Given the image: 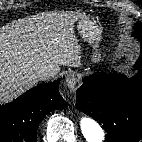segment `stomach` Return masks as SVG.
<instances>
[{"instance_id":"1","label":"stomach","mask_w":142,"mask_h":142,"mask_svg":"<svg viewBox=\"0 0 142 142\" xmlns=\"http://www.w3.org/2000/svg\"><path fill=\"white\" fill-rule=\"evenodd\" d=\"M77 31L85 42L93 45L94 53L92 60L97 62L100 59L97 47L98 43L101 41V28L88 16L81 15L77 20Z\"/></svg>"}]
</instances>
